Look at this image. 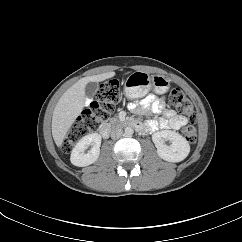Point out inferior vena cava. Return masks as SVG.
<instances>
[{
  "label": "inferior vena cava",
  "instance_id": "602c4592",
  "mask_svg": "<svg viewBox=\"0 0 242 242\" xmlns=\"http://www.w3.org/2000/svg\"><path fill=\"white\" fill-rule=\"evenodd\" d=\"M123 135V130L119 127L113 128L111 131L112 139H119Z\"/></svg>",
  "mask_w": 242,
  "mask_h": 242
}]
</instances>
